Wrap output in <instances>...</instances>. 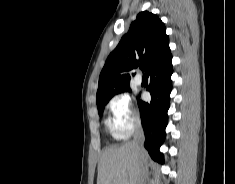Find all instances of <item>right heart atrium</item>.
<instances>
[{
  "label": "right heart atrium",
  "mask_w": 235,
  "mask_h": 184,
  "mask_svg": "<svg viewBox=\"0 0 235 184\" xmlns=\"http://www.w3.org/2000/svg\"><path fill=\"white\" fill-rule=\"evenodd\" d=\"M105 111L107 117L104 124L113 137L123 139L133 133L138 124V113L126 94L120 93L109 99Z\"/></svg>",
  "instance_id": "1"
}]
</instances>
